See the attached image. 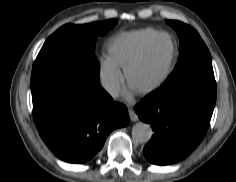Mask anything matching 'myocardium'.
Here are the masks:
<instances>
[{
    "label": "myocardium",
    "mask_w": 236,
    "mask_h": 182,
    "mask_svg": "<svg viewBox=\"0 0 236 182\" xmlns=\"http://www.w3.org/2000/svg\"><path fill=\"white\" fill-rule=\"evenodd\" d=\"M162 36H166L169 38L170 49H171V56H170V60L168 62L166 70L164 71L162 76L158 80L153 82L152 84H149V85L143 86V87L135 85L131 80L132 71L146 59L148 54L151 52L154 43ZM175 57H176V49H175V44H174L173 38L168 33H159L150 41V43L146 46V48L133 61H131L126 66V68H125L126 79H127L128 83L130 84V86L133 89H135L136 91L141 92V93L150 92V91L156 89L157 87H159L166 80V78L169 76V74L172 70L174 61H175Z\"/></svg>",
    "instance_id": "myocardium-1"
}]
</instances>
